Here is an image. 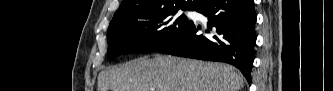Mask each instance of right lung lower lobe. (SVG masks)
<instances>
[{"label": "right lung lower lobe", "mask_w": 333, "mask_h": 91, "mask_svg": "<svg viewBox=\"0 0 333 91\" xmlns=\"http://www.w3.org/2000/svg\"><path fill=\"white\" fill-rule=\"evenodd\" d=\"M197 12L208 18L205 33L193 21L155 51L235 65L251 82L257 16L254 0H205Z\"/></svg>", "instance_id": "right-lung-lower-lobe-1"}]
</instances>
